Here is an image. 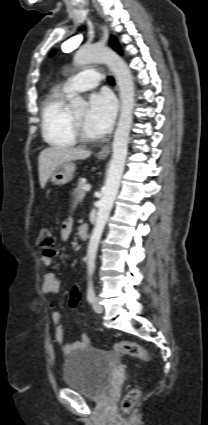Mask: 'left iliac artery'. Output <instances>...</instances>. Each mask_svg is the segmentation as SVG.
Wrapping results in <instances>:
<instances>
[{"instance_id": "obj_1", "label": "left iliac artery", "mask_w": 208, "mask_h": 425, "mask_svg": "<svg viewBox=\"0 0 208 425\" xmlns=\"http://www.w3.org/2000/svg\"><path fill=\"white\" fill-rule=\"evenodd\" d=\"M94 298H95V291H94L93 282L89 281L88 291H87V300L91 303L93 302Z\"/></svg>"}]
</instances>
